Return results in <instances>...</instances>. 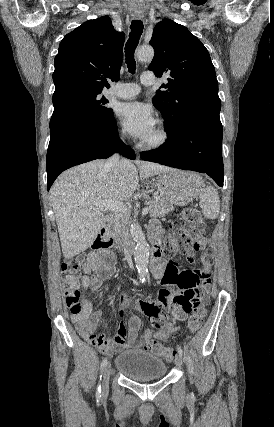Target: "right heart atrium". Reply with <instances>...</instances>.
<instances>
[{
  "mask_svg": "<svg viewBox=\"0 0 274 427\" xmlns=\"http://www.w3.org/2000/svg\"><path fill=\"white\" fill-rule=\"evenodd\" d=\"M120 138H121V140H124V135L122 134V135L120 136Z\"/></svg>",
  "mask_w": 274,
  "mask_h": 427,
  "instance_id": "right-heart-atrium-1",
  "label": "right heart atrium"
}]
</instances>
